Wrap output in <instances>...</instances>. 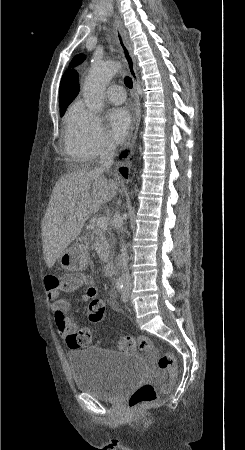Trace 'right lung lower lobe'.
Returning a JSON list of instances; mask_svg holds the SVG:
<instances>
[{
    "label": "right lung lower lobe",
    "instance_id": "obj_1",
    "mask_svg": "<svg viewBox=\"0 0 245 450\" xmlns=\"http://www.w3.org/2000/svg\"><path fill=\"white\" fill-rule=\"evenodd\" d=\"M122 156H123V157H126L125 154H123ZM120 158H121V157H120ZM120 172L122 173V175H123L124 177L127 178V175H128V169H123V170H121Z\"/></svg>",
    "mask_w": 245,
    "mask_h": 450
}]
</instances>
